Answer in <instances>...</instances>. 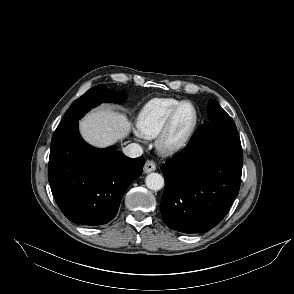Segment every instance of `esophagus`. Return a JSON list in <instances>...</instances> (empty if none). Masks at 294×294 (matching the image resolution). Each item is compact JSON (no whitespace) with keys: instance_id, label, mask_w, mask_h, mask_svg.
I'll list each match as a JSON object with an SVG mask.
<instances>
[{"instance_id":"34e87169","label":"esophagus","mask_w":294,"mask_h":294,"mask_svg":"<svg viewBox=\"0 0 294 294\" xmlns=\"http://www.w3.org/2000/svg\"><path fill=\"white\" fill-rule=\"evenodd\" d=\"M143 170H144L145 173H150V172L155 171L156 170L155 162L152 161V160H147L145 165H144Z\"/></svg>"}]
</instances>
